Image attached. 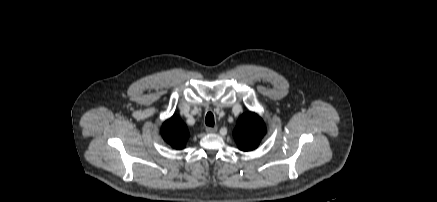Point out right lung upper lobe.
<instances>
[{
    "label": "right lung upper lobe",
    "instance_id": "cb5924a9",
    "mask_svg": "<svg viewBox=\"0 0 437 202\" xmlns=\"http://www.w3.org/2000/svg\"><path fill=\"white\" fill-rule=\"evenodd\" d=\"M163 139L175 149H183L189 136L187 126L177 116L166 120L161 129Z\"/></svg>",
    "mask_w": 437,
    "mask_h": 202
}]
</instances>
